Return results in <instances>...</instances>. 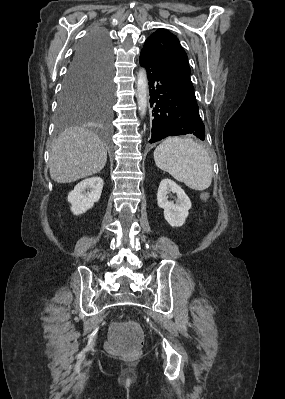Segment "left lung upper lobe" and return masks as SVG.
Here are the masks:
<instances>
[{"instance_id": "1", "label": "left lung upper lobe", "mask_w": 285, "mask_h": 399, "mask_svg": "<svg viewBox=\"0 0 285 399\" xmlns=\"http://www.w3.org/2000/svg\"><path fill=\"white\" fill-rule=\"evenodd\" d=\"M178 81L194 91L187 55L178 38L166 29H158L144 43L143 49Z\"/></svg>"}]
</instances>
